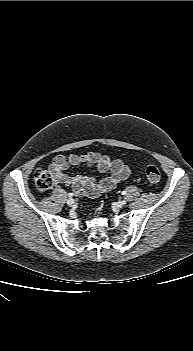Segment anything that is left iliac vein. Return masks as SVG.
Instances as JSON below:
<instances>
[{
  "mask_svg": "<svg viewBox=\"0 0 193 351\" xmlns=\"http://www.w3.org/2000/svg\"><path fill=\"white\" fill-rule=\"evenodd\" d=\"M119 203H120V205H122V206H123V205H125V204H126V200H122V201H120Z\"/></svg>",
  "mask_w": 193,
  "mask_h": 351,
  "instance_id": "obj_1",
  "label": "left iliac vein"
}]
</instances>
